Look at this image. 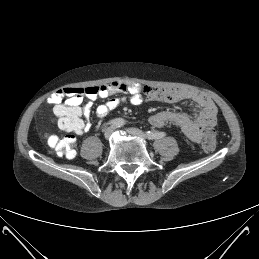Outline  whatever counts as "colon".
I'll return each mask as SVG.
<instances>
[{
	"label": "colon",
	"mask_w": 259,
	"mask_h": 259,
	"mask_svg": "<svg viewBox=\"0 0 259 259\" xmlns=\"http://www.w3.org/2000/svg\"><path fill=\"white\" fill-rule=\"evenodd\" d=\"M59 124H61L62 129L67 132L71 131L76 126V122L73 118L61 119L59 117ZM48 144L52 149L56 151L57 154L61 156H65L71 159L74 158L76 155V140L71 134L52 136V138L48 140ZM215 147V132L213 129H210L202 142V148L206 153H211L214 151Z\"/></svg>",
	"instance_id": "5ec220e1"
}]
</instances>
